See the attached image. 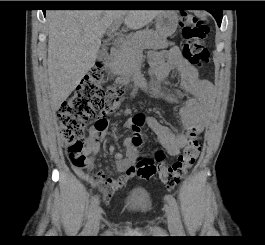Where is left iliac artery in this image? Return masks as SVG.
Here are the masks:
<instances>
[{"mask_svg": "<svg viewBox=\"0 0 265 245\" xmlns=\"http://www.w3.org/2000/svg\"><path fill=\"white\" fill-rule=\"evenodd\" d=\"M165 199L167 200V202L169 203L172 211L174 212L176 221H177V226H178V231L180 233H184V228L183 225L181 223V218H180V214H179V210H178V205L177 202L175 200V198L173 196H171L170 194L165 196Z\"/></svg>", "mask_w": 265, "mask_h": 245, "instance_id": "left-iliac-artery-1", "label": "left iliac artery"}]
</instances>
